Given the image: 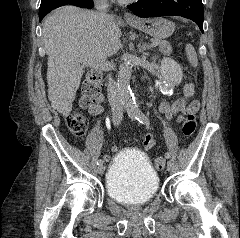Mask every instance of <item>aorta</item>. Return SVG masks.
Masks as SVG:
<instances>
[{
	"instance_id": "aorta-1",
	"label": "aorta",
	"mask_w": 240,
	"mask_h": 238,
	"mask_svg": "<svg viewBox=\"0 0 240 238\" xmlns=\"http://www.w3.org/2000/svg\"><path fill=\"white\" fill-rule=\"evenodd\" d=\"M132 67L131 59L125 60L120 66L117 80L118 90L123 106L130 117L136 116L140 113L130 88Z\"/></svg>"
}]
</instances>
